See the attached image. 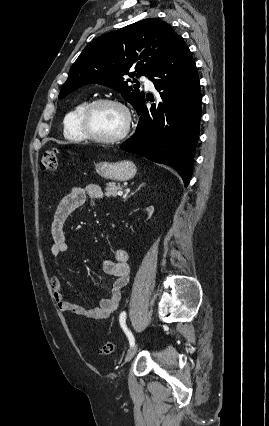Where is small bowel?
Returning <instances> with one entry per match:
<instances>
[{"label": "small bowel", "mask_w": 269, "mask_h": 426, "mask_svg": "<svg viewBox=\"0 0 269 426\" xmlns=\"http://www.w3.org/2000/svg\"><path fill=\"white\" fill-rule=\"evenodd\" d=\"M103 196L102 188L96 184L85 187H75L62 199L57 206L51 225L53 244L50 255L58 257L68 250L65 225L71 215L85 202L87 198L100 199ZM103 272L113 280L111 296L102 299L98 306L89 308L69 301L66 298L65 287L60 278L51 273L50 284L58 309L63 314L83 317L89 320H104L114 313L121 301L122 289L127 285L130 276L129 255L124 249H117L113 258L103 261Z\"/></svg>", "instance_id": "small-bowel-1"}]
</instances>
